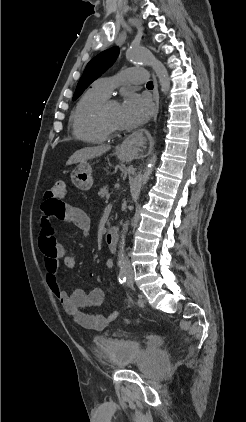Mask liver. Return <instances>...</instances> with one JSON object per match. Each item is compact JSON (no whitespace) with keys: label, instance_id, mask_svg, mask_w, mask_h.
<instances>
[{"label":"liver","instance_id":"6515ba94","mask_svg":"<svg viewBox=\"0 0 246 422\" xmlns=\"http://www.w3.org/2000/svg\"><path fill=\"white\" fill-rule=\"evenodd\" d=\"M110 150V146L108 145H101L97 147H87L81 150L76 151L66 162V165H72L76 163H83L89 159H93L95 157H99L102 154L106 153Z\"/></svg>","mask_w":246,"mask_h":422}]
</instances>
